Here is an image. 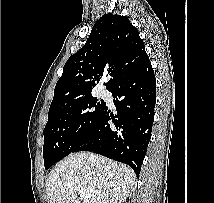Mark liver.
Returning <instances> with one entry per match:
<instances>
[{
  "label": "liver",
  "instance_id": "obj_1",
  "mask_svg": "<svg viewBox=\"0 0 214 203\" xmlns=\"http://www.w3.org/2000/svg\"><path fill=\"white\" fill-rule=\"evenodd\" d=\"M134 171L106 157L79 152L64 158L46 183L48 203H80V188L90 191L84 203H121L135 183Z\"/></svg>",
  "mask_w": 214,
  "mask_h": 203
}]
</instances>
